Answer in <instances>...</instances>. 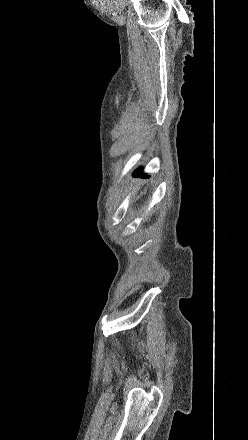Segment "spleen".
<instances>
[{"mask_svg":"<svg viewBox=\"0 0 248 440\" xmlns=\"http://www.w3.org/2000/svg\"><path fill=\"white\" fill-rule=\"evenodd\" d=\"M149 215H150V213H149V214H147V216H146L147 218L145 217V219H148Z\"/></svg>","mask_w":248,"mask_h":440,"instance_id":"spleen-1","label":"spleen"}]
</instances>
